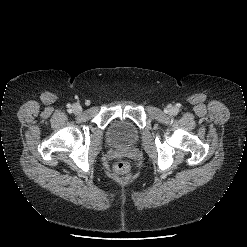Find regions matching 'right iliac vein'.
<instances>
[{"label": "right iliac vein", "mask_w": 247, "mask_h": 247, "mask_svg": "<svg viewBox=\"0 0 247 247\" xmlns=\"http://www.w3.org/2000/svg\"><path fill=\"white\" fill-rule=\"evenodd\" d=\"M73 109H74L75 112H80L81 111V107L78 106V105H74Z\"/></svg>", "instance_id": "right-iliac-vein-1"}]
</instances>
